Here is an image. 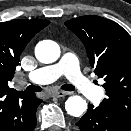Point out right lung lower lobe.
I'll list each match as a JSON object with an SVG mask.
<instances>
[{
    "instance_id": "right-lung-lower-lobe-1",
    "label": "right lung lower lobe",
    "mask_w": 131,
    "mask_h": 131,
    "mask_svg": "<svg viewBox=\"0 0 131 131\" xmlns=\"http://www.w3.org/2000/svg\"><path fill=\"white\" fill-rule=\"evenodd\" d=\"M41 102L33 92L13 90L0 93V131H32Z\"/></svg>"
}]
</instances>
